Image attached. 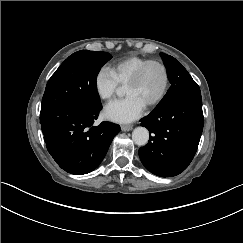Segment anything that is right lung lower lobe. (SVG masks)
Here are the masks:
<instances>
[{
  "instance_id": "98d812e1",
  "label": "right lung lower lobe",
  "mask_w": 243,
  "mask_h": 243,
  "mask_svg": "<svg viewBox=\"0 0 243 243\" xmlns=\"http://www.w3.org/2000/svg\"><path fill=\"white\" fill-rule=\"evenodd\" d=\"M102 106L66 103L40 115L47 149L66 172L82 175L96 169L105 157L119 125L93 126Z\"/></svg>"
}]
</instances>
